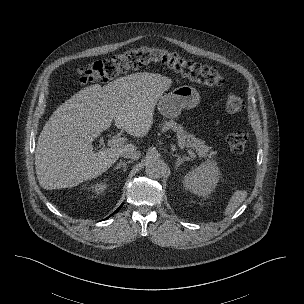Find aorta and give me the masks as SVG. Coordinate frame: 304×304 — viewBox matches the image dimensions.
<instances>
[{"instance_id": "762f6f07", "label": "aorta", "mask_w": 304, "mask_h": 304, "mask_svg": "<svg viewBox=\"0 0 304 304\" xmlns=\"http://www.w3.org/2000/svg\"><path fill=\"white\" fill-rule=\"evenodd\" d=\"M145 172L150 178H160L165 172V163L158 158H151L146 163Z\"/></svg>"}]
</instances>
